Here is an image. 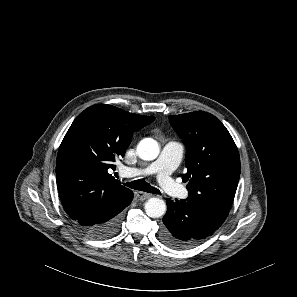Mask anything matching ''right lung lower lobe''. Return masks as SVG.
Returning a JSON list of instances; mask_svg holds the SVG:
<instances>
[{
    "mask_svg": "<svg viewBox=\"0 0 297 297\" xmlns=\"http://www.w3.org/2000/svg\"><path fill=\"white\" fill-rule=\"evenodd\" d=\"M132 199L133 193L131 192L119 203H94L86 215L74 219L75 223L81 232L91 238H110L118 232L122 220V211L131 203Z\"/></svg>",
    "mask_w": 297,
    "mask_h": 297,
    "instance_id": "98d812e1",
    "label": "right lung lower lobe"
}]
</instances>
